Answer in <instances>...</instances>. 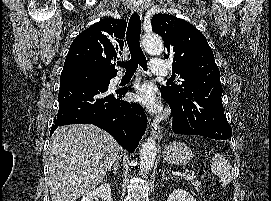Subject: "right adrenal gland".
I'll return each instance as SVG.
<instances>
[{
  "label": "right adrenal gland",
  "instance_id": "obj_1",
  "mask_svg": "<svg viewBox=\"0 0 271 201\" xmlns=\"http://www.w3.org/2000/svg\"><path fill=\"white\" fill-rule=\"evenodd\" d=\"M118 169H119V158L114 162V164H113V166H112V168L111 169H109V171L108 172H111V171H113L114 172V174H116L117 173V171H118Z\"/></svg>",
  "mask_w": 271,
  "mask_h": 201
}]
</instances>
